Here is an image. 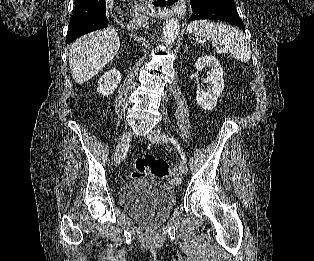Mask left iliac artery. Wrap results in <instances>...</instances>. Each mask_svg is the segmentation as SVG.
Segmentation results:
<instances>
[{
    "instance_id": "44dca946",
    "label": "left iliac artery",
    "mask_w": 314,
    "mask_h": 261,
    "mask_svg": "<svg viewBox=\"0 0 314 261\" xmlns=\"http://www.w3.org/2000/svg\"><path fill=\"white\" fill-rule=\"evenodd\" d=\"M162 139L164 141H170L175 146V148L178 150V152L180 153L181 158L183 159V161L187 162L186 155L183 152V149L181 148L180 144L178 143V141L176 139H174L173 137L165 136V135L162 136Z\"/></svg>"
}]
</instances>
